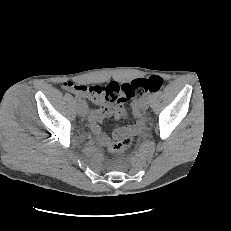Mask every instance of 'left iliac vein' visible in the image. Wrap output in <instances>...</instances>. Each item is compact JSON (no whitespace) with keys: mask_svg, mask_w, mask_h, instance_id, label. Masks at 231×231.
<instances>
[{"mask_svg":"<svg viewBox=\"0 0 231 231\" xmlns=\"http://www.w3.org/2000/svg\"><path fill=\"white\" fill-rule=\"evenodd\" d=\"M148 105H149L148 98H146V97L142 98L141 101H140V108H141V110H147L148 109Z\"/></svg>","mask_w":231,"mask_h":231,"instance_id":"4c4485c4","label":"left iliac vein"}]
</instances>
